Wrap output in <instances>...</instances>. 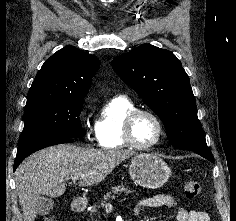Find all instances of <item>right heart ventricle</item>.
Wrapping results in <instances>:
<instances>
[{
  "label": "right heart ventricle",
  "mask_w": 236,
  "mask_h": 221,
  "mask_svg": "<svg viewBox=\"0 0 236 221\" xmlns=\"http://www.w3.org/2000/svg\"><path fill=\"white\" fill-rule=\"evenodd\" d=\"M135 103L125 95L109 99L101 108L95 130L98 144L105 150H121L128 147L123 138V123L134 109Z\"/></svg>",
  "instance_id": "obj_1"
}]
</instances>
